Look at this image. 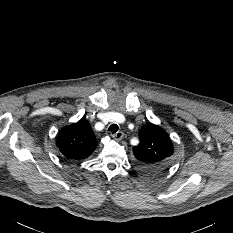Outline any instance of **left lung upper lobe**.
Returning a JSON list of instances; mask_svg holds the SVG:
<instances>
[{"label":"left lung upper lobe","instance_id":"5c2ea615","mask_svg":"<svg viewBox=\"0 0 233 233\" xmlns=\"http://www.w3.org/2000/svg\"><path fill=\"white\" fill-rule=\"evenodd\" d=\"M140 144L133 147L137 166L147 175L164 172L171 164L174 153L172 142L161 127L147 123L139 131Z\"/></svg>","mask_w":233,"mask_h":233}]
</instances>
